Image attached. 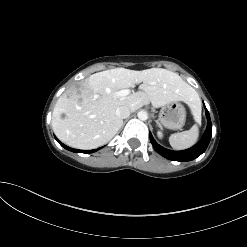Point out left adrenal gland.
<instances>
[{
	"instance_id": "a2214340",
	"label": "left adrenal gland",
	"mask_w": 247,
	"mask_h": 247,
	"mask_svg": "<svg viewBox=\"0 0 247 247\" xmlns=\"http://www.w3.org/2000/svg\"><path fill=\"white\" fill-rule=\"evenodd\" d=\"M156 124L161 127L160 123L158 122V120H155Z\"/></svg>"
}]
</instances>
